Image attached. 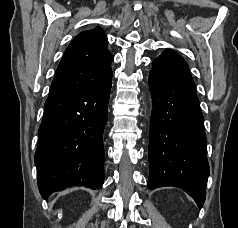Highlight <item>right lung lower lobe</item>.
<instances>
[{
  "label": "right lung lower lobe",
  "mask_w": 238,
  "mask_h": 228,
  "mask_svg": "<svg viewBox=\"0 0 238 228\" xmlns=\"http://www.w3.org/2000/svg\"><path fill=\"white\" fill-rule=\"evenodd\" d=\"M111 79L110 68L95 84L48 96L35 153L38 187L44 199L74 185L101 188L102 138Z\"/></svg>",
  "instance_id": "1"
}]
</instances>
